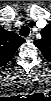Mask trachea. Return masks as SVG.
<instances>
[{
	"label": "trachea",
	"instance_id": "obj_1",
	"mask_svg": "<svg viewBox=\"0 0 51 101\" xmlns=\"http://www.w3.org/2000/svg\"><path fill=\"white\" fill-rule=\"evenodd\" d=\"M29 33H30V29H29V27H27V26H23V27L20 29V35L23 36V37L28 36Z\"/></svg>",
	"mask_w": 51,
	"mask_h": 101
}]
</instances>
